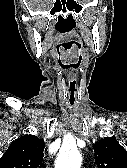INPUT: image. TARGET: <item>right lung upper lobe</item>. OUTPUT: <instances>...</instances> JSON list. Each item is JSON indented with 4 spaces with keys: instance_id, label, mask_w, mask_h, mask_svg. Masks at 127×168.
Listing matches in <instances>:
<instances>
[{
    "instance_id": "right-lung-upper-lobe-1",
    "label": "right lung upper lobe",
    "mask_w": 127,
    "mask_h": 168,
    "mask_svg": "<svg viewBox=\"0 0 127 168\" xmlns=\"http://www.w3.org/2000/svg\"><path fill=\"white\" fill-rule=\"evenodd\" d=\"M44 148V141L37 136H21L0 158V168H42Z\"/></svg>"
}]
</instances>
